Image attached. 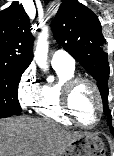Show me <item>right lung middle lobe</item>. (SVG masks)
Masks as SVG:
<instances>
[{"label": "right lung middle lobe", "instance_id": "1", "mask_svg": "<svg viewBox=\"0 0 114 156\" xmlns=\"http://www.w3.org/2000/svg\"><path fill=\"white\" fill-rule=\"evenodd\" d=\"M24 70L0 65V118L21 114L17 89Z\"/></svg>", "mask_w": 114, "mask_h": 156}]
</instances>
